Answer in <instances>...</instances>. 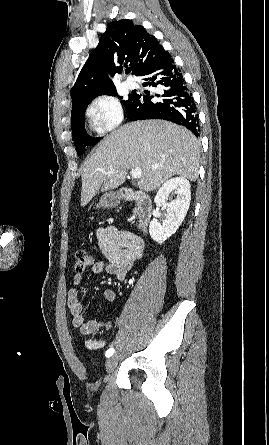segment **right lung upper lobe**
<instances>
[{
	"instance_id": "right-lung-upper-lobe-1",
	"label": "right lung upper lobe",
	"mask_w": 269,
	"mask_h": 445,
	"mask_svg": "<svg viewBox=\"0 0 269 445\" xmlns=\"http://www.w3.org/2000/svg\"><path fill=\"white\" fill-rule=\"evenodd\" d=\"M168 54L143 26L127 19L112 21L77 77L72 88V107L115 91L108 74L114 76L122 72L123 66L130 65L132 74L140 76Z\"/></svg>"
}]
</instances>
